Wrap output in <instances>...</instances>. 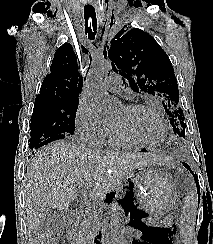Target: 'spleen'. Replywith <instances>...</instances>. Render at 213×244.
Returning <instances> with one entry per match:
<instances>
[{
	"mask_svg": "<svg viewBox=\"0 0 213 244\" xmlns=\"http://www.w3.org/2000/svg\"><path fill=\"white\" fill-rule=\"evenodd\" d=\"M197 216V193L195 187L187 191L180 217V234L184 244H190L194 232Z\"/></svg>",
	"mask_w": 213,
	"mask_h": 244,
	"instance_id": "1",
	"label": "spleen"
}]
</instances>
